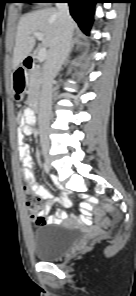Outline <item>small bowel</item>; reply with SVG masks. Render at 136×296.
Wrapping results in <instances>:
<instances>
[{"instance_id": "obj_1", "label": "small bowel", "mask_w": 136, "mask_h": 296, "mask_svg": "<svg viewBox=\"0 0 136 296\" xmlns=\"http://www.w3.org/2000/svg\"><path fill=\"white\" fill-rule=\"evenodd\" d=\"M34 115L33 112L26 108L24 113L18 116V123L22 127V134L24 136H29L33 132V124H34ZM19 155L20 161L22 165V175L26 182V185L31 188V190L40 198L46 199L49 197V192L43 186H41L33 173V158L31 155L29 145L23 143L22 139H20L19 144ZM64 207L70 206V201L67 198H64L60 202ZM52 204L47 203L41 215L46 217V222L43 224H57L60 223L63 219L68 217V214L64 210H59L55 216H48L49 212L51 211ZM80 212L82 214V222L85 224H89L92 222V215H93V206L91 203H84L80 207ZM96 221L102 225L107 226L109 221L105 217V213L103 211H95L94 213Z\"/></svg>"}]
</instances>
